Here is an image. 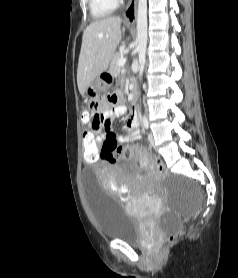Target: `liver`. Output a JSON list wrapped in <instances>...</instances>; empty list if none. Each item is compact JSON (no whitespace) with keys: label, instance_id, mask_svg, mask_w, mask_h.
Returning <instances> with one entry per match:
<instances>
[{"label":"liver","instance_id":"liver-1","mask_svg":"<svg viewBox=\"0 0 238 278\" xmlns=\"http://www.w3.org/2000/svg\"><path fill=\"white\" fill-rule=\"evenodd\" d=\"M121 22L120 17H107L92 22L85 29L77 69V84L81 95L107 69L122 39Z\"/></svg>","mask_w":238,"mask_h":278}]
</instances>
